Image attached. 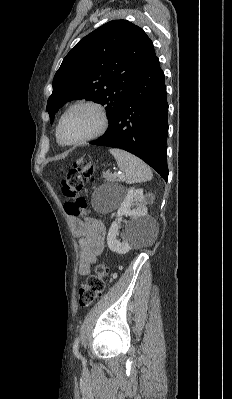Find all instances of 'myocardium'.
Returning a JSON list of instances; mask_svg holds the SVG:
<instances>
[{
    "label": "myocardium",
    "mask_w": 232,
    "mask_h": 399,
    "mask_svg": "<svg viewBox=\"0 0 232 399\" xmlns=\"http://www.w3.org/2000/svg\"><path fill=\"white\" fill-rule=\"evenodd\" d=\"M79 106H88V107H92L94 108L98 114H99V118H100V122H99V126L98 128L89 136L80 139V140H76V141H70L67 140L63 134H62V123L64 121V118L66 117V115L74 108L79 107ZM109 127V115L108 112L106 110V108L96 102L93 101H79L76 102L72 105H70L65 111L64 113L61 115L57 127H56V134L59 138V140L65 144V145H69V146H75V145H81L83 143L89 142L91 140H94L100 136H102L108 129Z\"/></svg>",
    "instance_id": "myocardium-1"
}]
</instances>
